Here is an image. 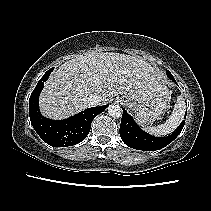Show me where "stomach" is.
Segmentation results:
<instances>
[{
	"label": "stomach",
	"instance_id": "1",
	"mask_svg": "<svg viewBox=\"0 0 211 211\" xmlns=\"http://www.w3.org/2000/svg\"><path fill=\"white\" fill-rule=\"evenodd\" d=\"M169 100V91L157 92L138 101V103L133 102L127 96L121 98L122 103L134 111L136 121L142 126H147L160 119L168 108Z\"/></svg>",
	"mask_w": 211,
	"mask_h": 211
}]
</instances>
